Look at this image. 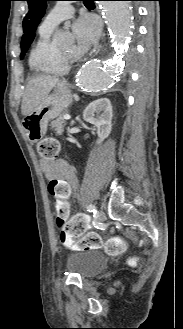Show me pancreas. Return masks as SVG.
Instances as JSON below:
<instances>
[{"instance_id":"1","label":"pancreas","mask_w":183,"mask_h":329,"mask_svg":"<svg viewBox=\"0 0 183 329\" xmlns=\"http://www.w3.org/2000/svg\"><path fill=\"white\" fill-rule=\"evenodd\" d=\"M65 125L66 123L62 120V118H58L51 122V127L54 128L58 135H62Z\"/></svg>"}]
</instances>
